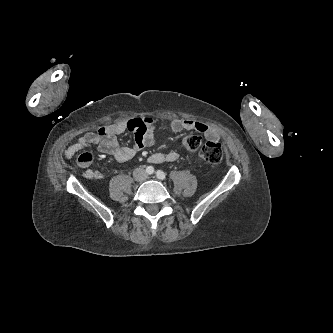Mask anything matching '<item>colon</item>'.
<instances>
[{"label": "colon", "instance_id": "5ec220e1", "mask_svg": "<svg viewBox=\"0 0 333 333\" xmlns=\"http://www.w3.org/2000/svg\"><path fill=\"white\" fill-rule=\"evenodd\" d=\"M183 146L189 152L200 150L199 159L206 163L217 165L223 160V148L217 142L202 144V139L199 136L189 135L184 138Z\"/></svg>", "mask_w": 333, "mask_h": 333}]
</instances>
